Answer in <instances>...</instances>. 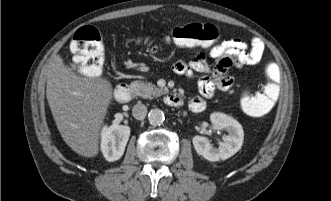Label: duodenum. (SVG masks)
<instances>
[{"mask_svg": "<svg viewBox=\"0 0 331 201\" xmlns=\"http://www.w3.org/2000/svg\"><path fill=\"white\" fill-rule=\"evenodd\" d=\"M131 96L132 88L127 83H122L115 89L114 97L118 103H126L130 100ZM164 100L165 103L171 107H179L182 104V99L178 95L171 92L165 94Z\"/></svg>", "mask_w": 331, "mask_h": 201, "instance_id": "1", "label": "duodenum"}]
</instances>
